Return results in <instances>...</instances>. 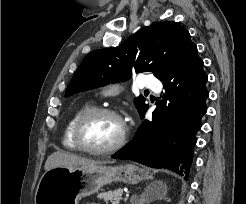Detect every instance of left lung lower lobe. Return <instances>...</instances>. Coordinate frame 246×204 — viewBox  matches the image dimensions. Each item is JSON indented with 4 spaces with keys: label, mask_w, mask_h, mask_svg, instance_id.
<instances>
[{
    "label": "left lung lower lobe",
    "mask_w": 246,
    "mask_h": 204,
    "mask_svg": "<svg viewBox=\"0 0 246 204\" xmlns=\"http://www.w3.org/2000/svg\"><path fill=\"white\" fill-rule=\"evenodd\" d=\"M207 75L193 45L161 80L165 92L156 102L152 120H145L134 139L112 156L185 175L192 162L195 134L206 113ZM148 106L141 113V118Z\"/></svg>",
    "instance_id": "1"
}]
</instances>
